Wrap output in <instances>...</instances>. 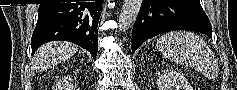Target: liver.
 I'll use <instances>...</instances> for the list:
<instances>
[{"mask_svg":"<svg viewBox=\"0 0 237 90\" xmlns=\"http://www.w3.org/2000/svg\"><path fill=\"white\" fill-rule=\"evenodd\" d=\"M76 52H78V46L70 42H50L37 50L33 58L34 66L39 70H46L72 58Z\"/></svg>","mask_w":237,"mask_h":90,"instance_id":"liver-1","label":"liver"}]
</instances>
